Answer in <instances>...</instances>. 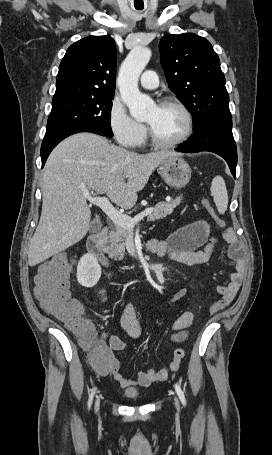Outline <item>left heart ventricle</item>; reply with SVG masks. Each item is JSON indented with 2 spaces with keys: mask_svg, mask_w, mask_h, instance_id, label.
I'll return each instance as SVG.
<instances>
[{
  "mask_svg": "<svg viewBox=\"0 0 272 455\" xmlns=\"http://www.w3.org/2000/svg\"><path fill=\"white\" fill-rule=\"evenodd\" d=\"M145 122L150 125L155 136L163 142L178 139L185 130L183 113L175 106L152 107Z\"/></svg>",
  "mask_w": 272,
  "mask_h": 455,
  "instance_id": "obj_1",
  "label": "left heart ventricle"
}]
</instances>
